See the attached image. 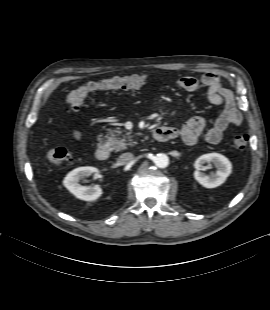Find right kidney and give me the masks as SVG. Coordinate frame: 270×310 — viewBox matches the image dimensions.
Returning a JSON list of instances; mask_svg holds the SVG:
<instances>
[{
    "label": "right kidney",
    "mask_w": 270,
    "mask_h": 310,
    "mask_svg": "<svg viewBox=\"0 0 270 310\" xmlns=\"http://www.w3.org/2000/svg\"><path fill=\"white\" fill-rule=\"evenodd\" d=\"M94 172H97V169L91 166L76 168L67 174L63 180V185L78 199L95 201L102 195V189L97 185L87 187L79 183L81 179Z\"/></svg>",
    "instance_id": "ca27d5eb"
}]
</instances>
